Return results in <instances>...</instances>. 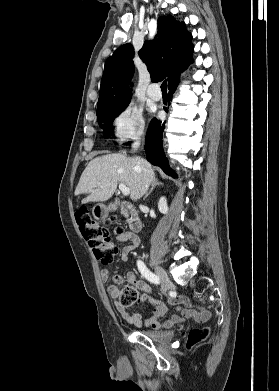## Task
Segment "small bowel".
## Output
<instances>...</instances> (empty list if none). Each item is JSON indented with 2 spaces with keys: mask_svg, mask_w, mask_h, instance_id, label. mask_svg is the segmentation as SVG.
I'll return each instance as SVG.
<instances>
[{
  "mask_svg": "<svg viewBox=\"0 0 279 391\" xmlns=\"http://www.w3.org/2000/svg\"><path fill=\"white\" fill-rule=\"evenodd\" d=\"M118 242H126L130 241L131 243L125 246L121 252L122 261H127L131 255V253L137 249L139 245L138 239L129 234L123 233L116 237ZM101 279L106 282L109 277V272L107 269L101 270ZM129 282L134 286V288L140 293V301L143 304L152 303L155 307L153 309L150 317L143 319L141 314L139 313H130L125 310V308L117 304V310L120 313L123 320H125L129 324H133L137 327H151L153 329H163L170 328L177 323L184 321L185 319L193 318L199 322H205L209 319L210 313L201 309L196 311L193 309L192 302L184 296H173L168 300V305L176 307L179 311V314L173 315L171 318L166 320L164 323H161L162 317L168 310V305L159 299H154L151 297V287L144 281L138 280L133 273L128 274ZM108 292L113 299L117 297V289L115 287L110 286L108 288Z\"/></svg>",
  "mask_w": 279,
  "mask_h": 391,
  "instance_id": "obj_1",
  "label": "small bowel"
}]
</instances>
